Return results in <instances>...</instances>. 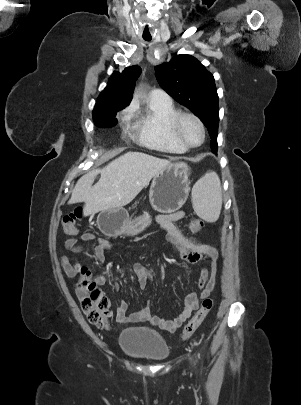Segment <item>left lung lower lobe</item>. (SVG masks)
Instances as JSON below:
<instances>
[{
  "label": "left lung lower lobe",
  "instance_id": "obj_1",
  "mask_svg": "<svg viewBox=\"0 0 301 405\" xmlns=\"http://www.w3.org/2000/svg\"><path fill=\"white\" fill-rule=\"evenodd\" d=\"M214 153H217V149H215Z\"/></svg>",
  "mask_w": 301,
  "mask_h": 405
}]
</instances>
